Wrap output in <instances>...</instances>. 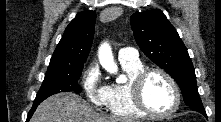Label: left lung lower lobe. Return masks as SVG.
<instances>
[{"instance_id":"left-lung-lower-lobe-1","label":"left lung lower lobe","mask_w":221,"mask_h":122,"mask_svg":"<svg viewBox=\"0 0 221 122\" xmlns=\"http://www.w3.org/2000/svg\"><path fill=\"white\" fill-rule=\"evenodd\" d=\"M198 112H200V113L203 114L205 117H207L205 110H200V111H198Z\"/></svg>"}]
</instances>
